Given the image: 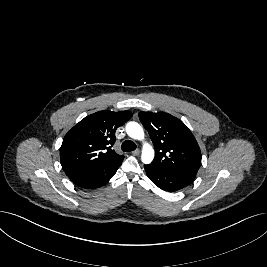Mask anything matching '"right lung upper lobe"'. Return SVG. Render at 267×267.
Returning <instances> with one entry per match:
<instances>
[{"instance_id":"cb5924a9","label":"right lung upper lobe","mask_w":267,"mask_h":267,"mask_svg":"<svg viewBox=\"0 0 267 267\" xmlns=\"http://www.w3.org/2000/svg\"><path fill=\"white\" fill-rule=\"evenodd\" d=\"M132 117L130 111L103 110L82 119L65 135L60 148V162L68 177L94 167L123 160L112 146L115 131Z\"/></svg>"}]
</instances>
